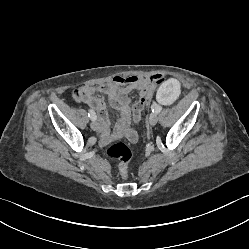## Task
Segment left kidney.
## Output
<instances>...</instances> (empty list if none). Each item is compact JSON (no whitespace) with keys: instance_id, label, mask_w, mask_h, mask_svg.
<instances>
[{"instance_id":"left-kidney-1","label":"left kidney","mask_w":249,"mask_h":249,"mask_svg":"<svg viewBox=\"0 0 249 249\" xmlns=\"http://www.w3.org/2000/svg\"><path fill=\"white\" fill-rule=\"evenodd\" d=\"M182 96V84L175 79H164L155 92V101L159 106L176 103Z\"/></svg>"}]
</instances>
